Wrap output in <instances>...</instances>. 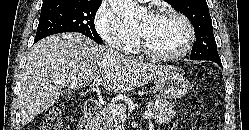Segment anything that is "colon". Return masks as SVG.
I'll return each mask as SVG.
<instances>
[{
	"instance_id": "colon-1",
	"label": "colon",
	"mask_w": 249,
	"mask_h": 130,
	"mask_svg": "<svg viewBox=\"0 0 249 130\" xmlns=\"http://www.w3.org/2000/svg\"><path fill=\"white\" fill-rule=\"evenodd\" d=\"M63 104L57 102L44 115L39 130H61Z\"/></svg>"
}]
</instances>
